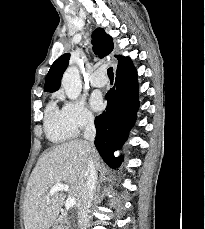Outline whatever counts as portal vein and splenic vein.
Wrapping results in <instances>:
<instances>
[{"mask_svg": "<svg viewBox=\"0 0 205 229\" xmlns=\"http://www.w3.org/2000/svg\"><path fill=\"white\" fill-rule=\"evenodd\" d=\"M70 189H69V186L68 185H65V184H55L51 187L49 193H48V196L47 198H49L50 196L54 195L56 192H59V191H65V192H68ZM76 204V198L75 197H69L66 202H65V208L68 210L70 208H73Z\"/></svg>", "mask_w": 205, "mask_h": 229, "instance_id": "portal-vein-and-splenic-vein-1", "label": "portal vein and splenic vein"}]
</instances>
